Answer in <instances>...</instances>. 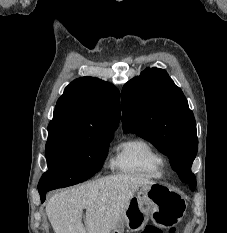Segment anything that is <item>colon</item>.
<instances>
[{"label": "colon", "instance_id": "obj_1", "mask_svg": "<svg viewBox=\"0 0 227 233\" xmlns=\"http://www.w3.org/2000/svg\"><path fill=\"white\" fill-rule=\"evenodd\" d=\"M141 233H163V231L155 226H146ZM169 233H175L174 230L169 231Z\"/></svg>", "mask_w": 227, "mask_h": 233}]
</instances>
